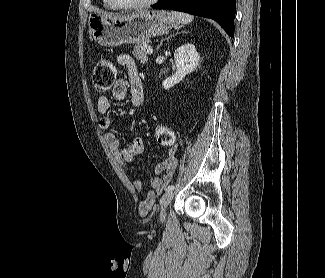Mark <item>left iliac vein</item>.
<instances>
[{"mask_svg": "<svg viewBox=\"0 0 325 278\" xmlns=\"http://www.w3.org/2000/svg\"><path fill=\"white\" fill-rule=\"evenodd\" d=\"M174 197L173 191H167L161 198V206H160V218L164 220L166 217V209L167 206L171 203Z\"/></svg>", "mask_w": 325, "mask_h": 278, "instance_id": "left-iliac-vein-1", "label": "left iliac vein"}]
</instances>
